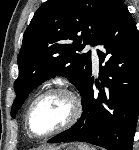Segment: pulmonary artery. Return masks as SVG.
<instances>
[{"label": "pulmonary artery", "instance_id": "1", "mask_svg": "<svg viewBox=\"0 0 139 150\" xmlns=\"http://www.w3.org/2000/svg\"><path fill=\"white\" fill-rule=\"evenodd\" d=\"M86 51H89L91 53L93 67L95 70H98L99 57L97 53V47L93 45H88L86 47Z\"/></svg>", "mask_w": 139, "mask_h": 150}]
</instances>
